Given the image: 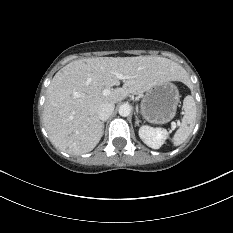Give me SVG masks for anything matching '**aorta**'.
Masks as SVG:
<instances>
[{"label":"aorta","instance_id":"762f6f07","mask_svg":"<svg viewBox=\"0 0 233 233\" xmlns=\"http://www.w3.org/2000/svg\"><path fill=\"white\" fill-rule=\"evenodd\" d=\"M119 115L122 117H127L129 116L131 112V108L128 104H122L119 109H118Z\"/></svg>","mask_w":233,"mask_h":233}]
</instances>
